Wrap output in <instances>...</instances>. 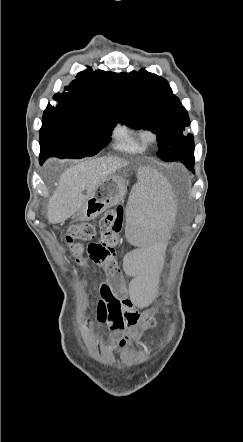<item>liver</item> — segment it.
<instances>
[{
    "instance_id": "obj_1",
    "label": "liver",
    "mask_w": 243,
    "mask_h": 442,
    "mask_svg": "<svg viewBox=\"0 0 243 442\" xmlns=\"http://www.w3.org/2000/svg\"><path fill=\"white\" fill-rule=\"evenodd\" d=\"M128 165L124 159L101 157L84 160L62 173L47 206V219L62 223L74 215L108 176Z\"/></svg>"
}]
</instances>
